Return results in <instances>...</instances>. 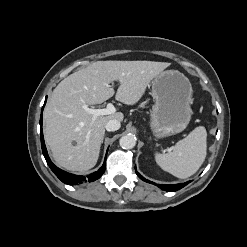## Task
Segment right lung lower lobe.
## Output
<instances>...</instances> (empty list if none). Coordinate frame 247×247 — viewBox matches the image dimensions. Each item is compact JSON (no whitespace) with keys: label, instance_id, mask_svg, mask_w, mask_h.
Instances as JSON below:
<instances>
[{"label":"right lung lower lobe","instance_id":"right-lung-lower-lobe-1","mask_svg":"<svg viewBox=\"0 0 247 247\" xmlns=\"http://www.w3.org/2000/svg\"><path fill=\"white\" fill-rule=\"evenodd\" d=\"M45 103H46V101H45ZM45 103H44V106H45ZM44 106H43V108H44ZM43 108H42V111H43ZM42 120H43V116L41 114V117H40V129H41L40 137H41V146H42L43 155H44V157L46 159V162H47L48 166L51 168V170L55 173V175L63 183L68 184V185H75V184L81 183L82 181L93 182V181L97 180L98 178H100L103 175V173L105 171V167H106V162H104V164L102 165V167H100V169L98 171L88 175L86 178H84L83 176L67 173V172L59 169L58 167H56L51 162V160H50V158L48 156V153H47V149H46L45 142H44V137H43V131H42Z\"/></svg>","mask_w":247,"mask_h":247}]
</instances>
